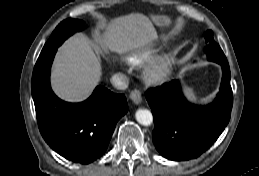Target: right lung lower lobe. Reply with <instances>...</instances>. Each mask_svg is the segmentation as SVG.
<instances>
[{
	"label": "right lung lower lobe",
	"mask_w": 259,
	"mask_h": 176,
	"mask_svg": "<svg viewBox=\"0 0 259 176\" xmlns=\"http://www.w3.org/2000/svg\"><path fill=\"white\" fill-rule=\"evenodd\" d=\"M57 48L40 54L32 75V96L39 130L64 158L88 164L102 156L117 121L127 112L123 94L98 86L84 102L60 100L50 87V68Z\"/></svg>",
	"instance_id": "98d812e1"
}]
</instances>
